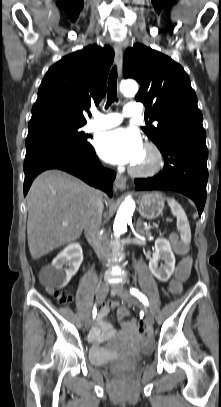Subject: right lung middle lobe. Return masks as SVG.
Listing matches in <instances>:
<instances>
[{
    "mask_svg": "<svg viewBox=\"0 0 221 407\" xmlns=\"http://www.w3.org/2000/svg\"><path fill=\"white\" fill-rule=\"evenodd\" d=\"M83 125L54 123L29 128L26 143L38 139H55L67 142L80 150H88L92 147L89 143V135L80 128Z\"/></svg>",
    "mask_w": 221,
    "mask_h": 407,
    "instance_id": "dd1d6c3e",
    "label": "right lung middle lobe"
}]
</instances>
